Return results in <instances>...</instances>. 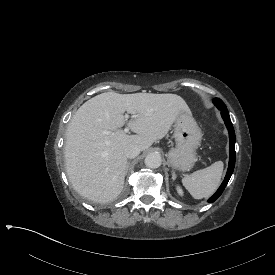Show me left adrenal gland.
I'll return each mask as SVG.
<instances>
[{
    "label": "left adrenal gland",
    "instance_id": "obj_1",
    "mask_svg": "<svg viewBox=\"0 0 275 275\" xmlns=\"http://www.w3.org/2000/svg\"><path fill=\"white\" fill-rule=\"evenodd\" d=\"M175 178H176L175 171H174V170H172V179H173V180H175Z\"/></svg>",
    "mask_w": 275,
    "mask_h": 275
}]
</instances>
